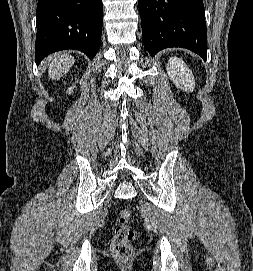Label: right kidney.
I'll return each mask as SVG.
<instances>
[{
	"instance_id": "ca27d5eb",
	"label": "right kidney",
	"mask_w": 253,
	"mask_h": 271,
	"mask_svg": "<svg viewBox=\"0 0 253 271\" xmlns=\"http://www.w3.org/2000/svg\"><path fill=\"white\" fill-rule=\"evenodd\" d=\"M74 87H75V86H74ZM72 91H73V87H70V88L68 89V93L71 94Z\"/></svg>"
}]
</instances>
